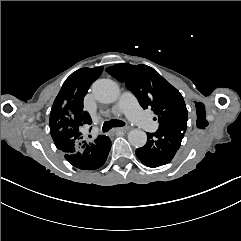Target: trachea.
<instances>
[{
    "label": "trachea",
    "instance_id": "trachea-1",
    "mask_svg": "<svg viewBox=\"0 0 241 241\" xmlns=\"http://www.w3.org/2000/svg\"><path fill=\"white\" fill-rule=\"evenodd\" d=\"M125 123L123 121L114 119L110 121H105L102 127L103 132H108L112 127H122Z\"/></svg>",
    "mask_w": 241,
    "mask_h": 241
}]
</instances>
